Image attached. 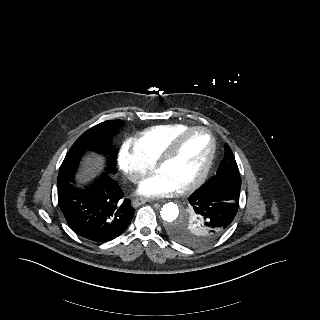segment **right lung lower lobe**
<instances>
[{
  "mask_svg": "<svg viewBox=\"0 0 320 320\" xmlns=\"http://www.w3.org/2000/svg\"><path fill=\"white\" fill-rule=\"evenodd\" d=\"M74 177L58 183V202L69 227L81 237L104 243L121 235L135 209L121 187L102 174L85 189L74 187Z\"/></svg>",
  "mask_w": 320,
  "mask_h": 320,
  "instance_id": "98d812e1",
  "label": "right lung lower lobe"
}]
</instances>
